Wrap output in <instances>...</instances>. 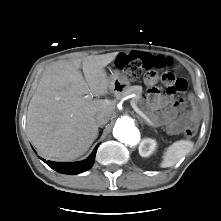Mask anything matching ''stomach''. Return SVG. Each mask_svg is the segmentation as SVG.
I'll use <instances>...</instances> for the list:
<instances>
[{"label": "stomach", "instance_id": "obj_1", "mask_svg": "<svg viewBox=\"0 0 221 221\" xmlns=\"http://www.w3.org/2000/svg\"><path fill=\"white\" fill-rule=\"evenodd\" d=\"M109 81L111 91L115 92L117 95L122 94L130 85L127 77L119 71H115L110 76Z\"/></svg>", "mask_w": 221, "mask_h": 221}]
</instances>
